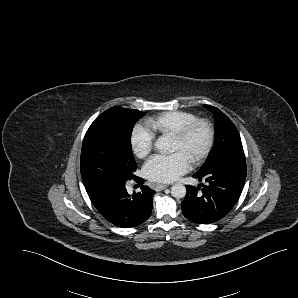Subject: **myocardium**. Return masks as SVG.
I'll return each mask as SVG.
<instances>
[{"label": "myocardium", "mask_w": 298, "mask_h": 298, "mask_svg": "<svg viewBox=\"0 0 298 298\" xmlns=\"http://www.w3.org/2000/svg\"><path fill=\"white\" fill-rule=\"evenodd\" d=\"M200 128L203 133L202 143L199 149L195 152V154L188 161L189 165H194L197 161H199L208 151L210 143H211V127L210 124L204 119H196L187 124L181 125L164 135L163 140H181L188 136L194 129Z\"/></svg>", "instance_id": "f54148a6"}]
</instances>
